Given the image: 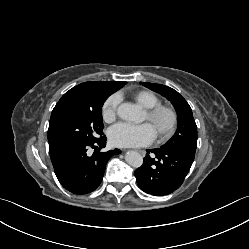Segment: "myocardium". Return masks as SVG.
<instances>
[{"mask_svg": "<svg viewBox=\"0 0 249 249\" xmlns=\"http://www.w3.org/2000/svg\"><path fill=\"white\" fill-rule=\"evenodd\" d=\"M146 115L147 120L151 123L156 122L162 115L167 116V124L157 132V136L160 139H167L175 132L178 125V113L173 107L169 105L158 104L151 108H147Z\"/></svg>", "mask_w": 249, "mask_h": 249, "instance_id": "f54148a6", "label": "myocardium"}]
</instances>
